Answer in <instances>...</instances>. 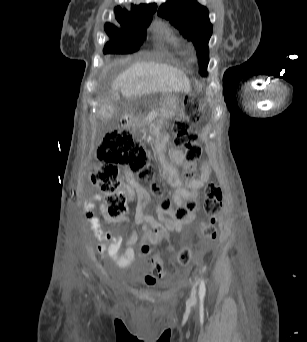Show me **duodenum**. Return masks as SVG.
I'll return each mask as SVG.
<instances>
[{
  "mask_svg": "<svg viewBox=\"0 0 307 342\" xmlns=\"http://www.w3.org/2000/svg\"><path fill=\"white\" fill-rule=\"evenodd\" d=\"M122 123L124 126H130L132 123V118L131 117H123Z\"/></svg>",
  "mask_w": 307,
  "mask_h": 342,
  "instance_id": "410a0bca",
  "label": "duodenum"
}]
</instances>
